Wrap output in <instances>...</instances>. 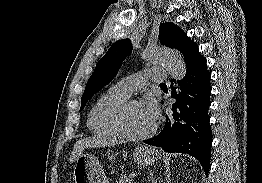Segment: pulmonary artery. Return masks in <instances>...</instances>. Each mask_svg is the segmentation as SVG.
<instances>
[{"label": "pulmonary artery", "instance_id": "1", "mask_svg": "<svg viewBox=\"0 0 262 183\" xmlns=\"http://www.w3.org/2000/svg\"><path fill=\"white\" fill-rule=\"evenodd\" d=\"M163 72L164 70L157 69L145 70L120 80L112 87V89L128 98L134 90L143 87L148 79L153 82L166 81L167 78L163 75Z\"/></svg>", "mask_w": 262, "mask_h": 183}]
</instances>
